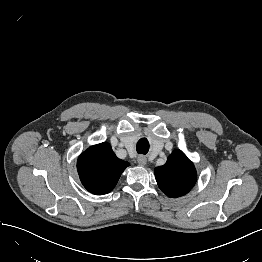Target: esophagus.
Listing matches in <instances>:
<instances>
[{
  "label": "esophagus",
  "instance_id": "1",
  "mask_svg": "<svg viewBox=\"0 0 262 262\" xmlns=\"http://www.w3.org/2000/svg\"><path fill=\"white\" fill-rule=\"evenodd\" d=\"M138 163L140 164V165H146V163H147V158L145 157V156H139L138 157Z\"/></svg>",
  "mask_w": 262,
  "mask_h": 262
}]
</instances>
